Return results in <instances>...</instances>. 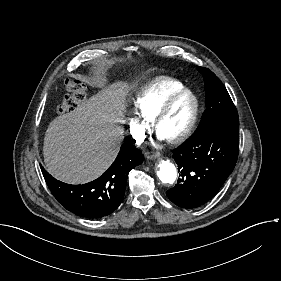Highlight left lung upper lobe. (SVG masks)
I'll return each mask as SVG.
<instances>
[{"label": "left lung upper lobe", "mask_w": 281, "mask_h": 281, "mask_svg": "<svg viewBox=\"0 0 281 281\" xmlns=\"http://www.w3.org/2000/svg\"><path fill=\"white\" fill-rule=\"evenodd\" d=\"M205 80V104L200 125H226L239 127V118L225 86L209 69L197 67Z\"/></svg>", "instance_id": "1"}]
</instances>
